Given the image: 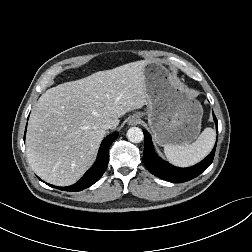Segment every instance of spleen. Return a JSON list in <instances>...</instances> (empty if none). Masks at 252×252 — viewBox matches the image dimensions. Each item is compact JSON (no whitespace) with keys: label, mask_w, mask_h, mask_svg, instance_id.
<instances>
[{"label":"spleen","mask_w":252,"mask_h":252,"mask_svg":"<svg viewBox=\"0 0 252 252\" xmlns=\"http://www.w3.org/2000/svg\"><path fill=\"white\" fill-rule=\"evenodd\" d=\"M215 137V131L208 127L194 143L190 145L167 144L164 146V153L167 159L177 166H191L210 153L215 143Z\"/></svg>","instance_id":"1"}]
</instances>
